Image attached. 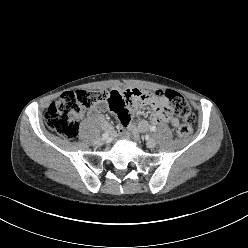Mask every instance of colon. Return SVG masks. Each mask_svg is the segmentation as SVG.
I'll return each mask as SVG.
<instances>
[{
    "label": "colon",
    "instance_id": "colon-1",
    "mask_svg": "<svg viewBox=\"0 0 248 248\" xmlns=\"http://www.w3.org/2000/svg\"><path fill=\"white\" fill-rule=\"evenodd\" d=\"M169 103V111L181 116L182 122L177 126V134L186 137L195 123L189 103L180 93L166 90L160 93ZM102 101H108L105 90H72L64 92L53 102L45 113L47 127L66 139H73L78 134V118L88 108Z\"/></svg>",
    "mask_w": 248,
    "mask_h": 248
}]
</instances>
